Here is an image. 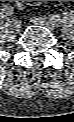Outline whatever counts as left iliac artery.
I'll return each instance as SVG.
<instances>
[{"instance_id": "left-iliac-artery-1", "label": "left iliac artery", "mask_w": 74, "mask_h": 122, "mask_svg": "<svg viewBox=\"0 0 74 122\" xmlns=\"http://www.w3.org/2000/svg\"><path fill=\"white\" fill-rule=\"evenodd\" d=\"M50 20L53 22V23H55V24H59V21H60V18H59V16L58 15H52L51 17H50Z\"/></svg>"}]
</instances>
